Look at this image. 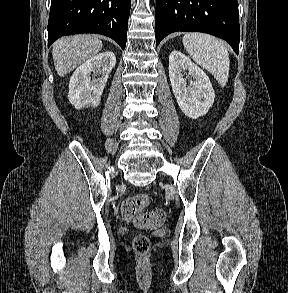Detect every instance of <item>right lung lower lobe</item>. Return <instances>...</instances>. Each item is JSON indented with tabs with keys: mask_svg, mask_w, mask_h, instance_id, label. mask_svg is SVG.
<instances>
[{
	"mask_svg": "<svg viewBox=\"0 0 288 293\" xmlns=\"http://www.w3.org/2000/svg\"><path fill=\"white\" fill-rule=\"evenodd\" d=\"M130 6L131 0H51L48 47L64 35L96 33L125 49Z\"/></svg>",
	"mask_w": 288,
	"mask_h": 293,
	"instance_id": "right-lung-lower-lobe-1",
	"label": "right lung lower lobe"
}]
</instances>
